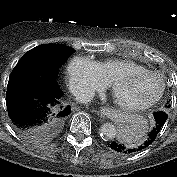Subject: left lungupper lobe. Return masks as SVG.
Segmentation results:
<instances>
[{
	"instance_id": "1",
	"label": "left lung upper lobe",
	"mask_w": 177,
	"mask_h": 177,
	"mask_svg": "<svg viewBox=\"0 0 177 177\" xmlns=\"http://www.w3.org/2000/svg\"><path fill=\"white\" fill-rule=\"evenodd\" d=\"M169 107H170V105H167V106H166V109H164V111L167 112V108H169Z\"/></svg>"
}]
</instances>
